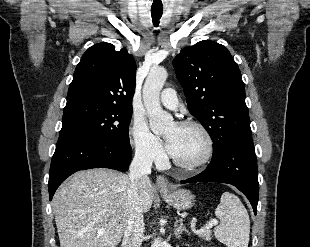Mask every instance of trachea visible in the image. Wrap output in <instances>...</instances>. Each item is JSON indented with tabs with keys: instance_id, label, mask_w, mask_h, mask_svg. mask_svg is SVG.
I'll list each match as a JSON object with an SVG mask.
<instances>
[{
	"instance_id": "1",
	"label": "trachea",
	"mask_w": 310,
	"mask_h": 247,
	"mask_svg": "<svg viewBox=\"0 0 310 247\" xmlns=\"http://www.w3.org/2000/svg\"><path fill=\"white\" fill-rule=\"evenodd\" d=\"M163 14L162 10H151V16L153 24L157 27L159 25V20Z\"/></svg>"
}]
</instances>
